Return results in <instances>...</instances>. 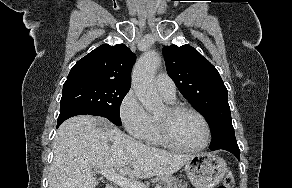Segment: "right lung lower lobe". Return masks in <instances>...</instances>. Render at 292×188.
I'll list each match as a JSON object with an SVG mask.
<instances>
[{
	"label": "right lung lower lobe",
	"mask_w": 292,
	"mask_h": 188,
	"mask_svg": "<svg viewBox=\"0 0 292 188\" xmlns=\"http://www.w3.org/2000/svg\"><path fill=\"white\" fill-rule=\"evenodd\" d=\"M86 112L80 111V110H67L60 112V115L57 119V128L60 126L62 122H64L66 119L76 116V115H85Z\"/></svg>",
	"instance_id": "1"
}]
</instances>
